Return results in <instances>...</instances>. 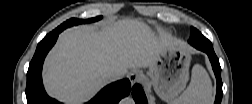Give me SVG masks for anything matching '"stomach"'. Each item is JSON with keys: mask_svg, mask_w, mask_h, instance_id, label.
I'll use <instances>...</instances> for the list:
<instances>
[{"mask_svg": "<svg viewBox=\"0 0 252 104\" xmlns=\"http://www.w3.org/2000/svg\"><path fill=\"white\" fill-rule=\"evenodd\" d=\"M191 55L180 44L163 47L156 60L148 67L147 75L157 95L167 103H174L184 90L189 78Z\"/></svg>", "mask_w": 252, "mask_h": 104, "instance_id": "obj_1", "label": "stomach"}]
</instances>
